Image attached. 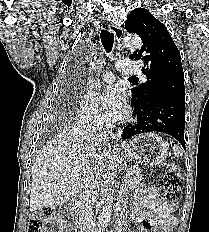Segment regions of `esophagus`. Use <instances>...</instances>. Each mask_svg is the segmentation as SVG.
Listing matches in <instances>:
<instances>
[{
  "instance_id": "1",
  "label": "esophagus",
  "mask_w": 209,
  "mask_h": 232,
  "mask_svg": "<svg viewBox=\"0 0 209 232\" xmlns=\"http://www.w3.org/2000/svg\"><path fill=\"white\" fill-rule=\"evenodd\" d=\"M109 30L110 32H112L114 35H115V38L117 40L118 43L121 42L122 38H123V30L122 28H120L119 26L117 25H114V24H109ZM111 138L114 142V145H118V137L116 134H112L111 135Z\"/></svg>"
}]
</instances>
